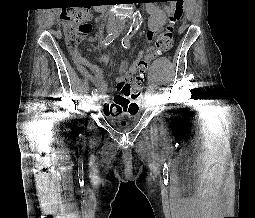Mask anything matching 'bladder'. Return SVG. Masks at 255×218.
I'll list each match as a JSON object with an SVG mask.
<instances>
[{
  "instance_id": "31cf9c89",
  "label": "bladder",
  "mask_w": 255,
  "mask_h": 218,
  "mask_svg": "<svg viewBox=\"0 0 255 218\" xmlns=\"http://www.w3.org/2000/svg\"><path fill=\"white\" fill-rule=\"evenodd\" d=\"M139 115L136 112H120L107 115L110 124L115 126L118 131H128L134 127Z\"/></svg>"
}]
</instances>
